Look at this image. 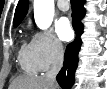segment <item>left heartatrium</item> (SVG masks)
Masks as SVG:
<instances>
[{
  "mask_svg": "<svg viewBox=\"0 0 107 89\" xmlns=\"http://www.w3.org/2000/svg\"><path fill=\"white\" fill-rule=\"evenodd\" d=\"M56 33L62 41H69L72 37L73 31L70 22L67 18L62 17L56 22Z\"/></svg>",
  "mask_w": 107,
  "mask_h": 89,
  "instance_id": "1",
  "label": "left heart atrium"
}]
</instances>
